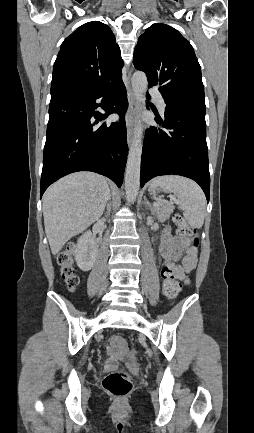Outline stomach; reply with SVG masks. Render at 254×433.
Masks as SVG:
<instances>
[{
  "label": "stomach",
  "mask_w": 254,
  "mask_h": 433,
  "mask_svg": "<svg viewBox=\"0 0 254 433\" xmlns=\"http://www.w3.org/2000/svg\"><path fill=\"white\" fill-rule=\"evenodd\" d=\"M158 191H160V188L158 187H149V192L152 194H155Z\"/></svg>",
  "instance_id": "obj_1"
}]
</instances>
